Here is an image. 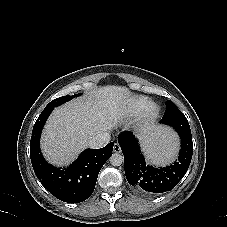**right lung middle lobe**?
<instances>
[{
	"mask_svg": "<svg viewBox=\"0 0 227 227\" xmlns=\"http://www.w3.org/2000/svg\"><path fill=\"white\" fill-rule=\"evenodd\" d=\"M80 94H75V95H72V96H62L60 98H56L55 100L51 101L45 108L47 107H57L63 103H65L66 101H69L77 96H79Z\"/></svg>",
	"mask_w": 227,
	"mask_h": 227,
	"instance_id": "obj_1",
	"label": "right lung middle lobe"
}]
</instances>
